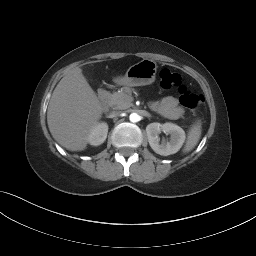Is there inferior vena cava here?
Listing matches in <instances>:
<instances>
[{
	"instance_id": "obj_1",
	"label": "inferior vena cava",
	"mask_w": 256,
	"mask_h": 256,
	"mask_svg": "<svg viewBox=\"0 0 256 256\" xmlns=\"http://www.w3.org/2000/svg\"><path fill=\"white\" fill-rule=\"evenodd\" d=\"M121 114V111H112L111 113H110V116L111 117H117V116H119Z\"/></svg>"
}]
</instances>
